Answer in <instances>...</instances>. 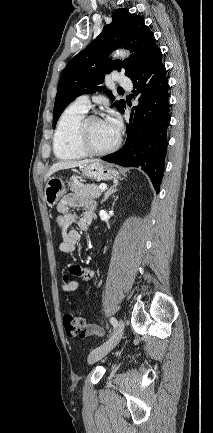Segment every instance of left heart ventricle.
Segmentation results:
<instances>
[{"instance_id": "b2bd125f", "label": "left heart ventricle", "mask_w": 213, "mask_h": 433, "mask_svg": "<svg viewBox=\"0 0 213 433\" xmlns=\"http://www.w3.org/2000/svg\"><path fill=\"white\" fill-rule=\"evenodd\" d=\"M87 135L92 147L103 150L115 143L118 134L101 119L89 123Z\"/></svg>"}]
</instances>
